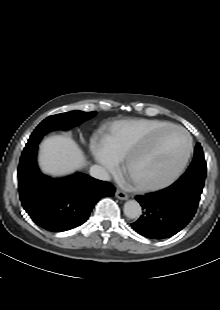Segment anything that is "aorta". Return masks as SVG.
I'll return each mask as SVG.
<instances>
[{"label":"aorta","instance_id":"762f6f07","mask_svg":"<svg viewBox=\"0 0 220 310\" xmlns=\"http://www.w3.org/2000/svg\"><path fill=\"white\" fill-rule=\"evenodd\" d=\"M124 214L129 219H137L141 215V206L135 200H129L124 204Z\"/></svg>","mask_w":220,"mask_h":310}]
</instances>
